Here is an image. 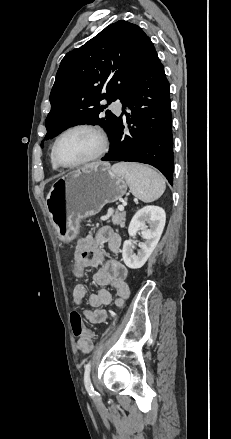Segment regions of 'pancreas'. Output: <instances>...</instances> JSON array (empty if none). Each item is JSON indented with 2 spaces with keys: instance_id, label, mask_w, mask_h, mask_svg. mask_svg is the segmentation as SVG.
I'll list each match as a JSON object with an SVG mask.
<instances>
[{
  "instance_id": "pancreas-1",
  "label": "pancreas",
  "mask_w": 231,
  "mask_h": 439,
  "mask_svg": "<svg viewBox=\"0 0 231 439\" xmlns=\"http://www.w3.org/2000/svg\"><path fill=\"white\" fill-rule=\"evenodd\" d=\"M125 216H126L125 212H116L112 216L111 221L113 222L114 225H119V226L123 227L125 225ZM109 221L110 220H108V222Z\"/></svg>"
}]
</instances>
